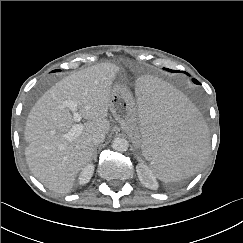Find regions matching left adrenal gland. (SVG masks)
<instances>
[{
	"label": "left adrenal gland",
	"instance_id": "left-adrenal-gland-1",
	"mask_svg": "<svg viewBox=\"0 0 243 243\" xmlns=\"http://www.w3.org/2000/svg\"><path fill=\"white\" fill-rule=\"evenodd\" d=\"M136 157H137L139 160H141L140 156L136 155Z\"/></svg>",
	"mask_w": 243,
	"mask_h": 243
}]
</instances>
